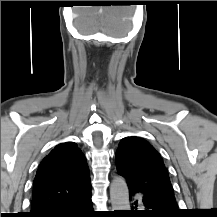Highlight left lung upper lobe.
Masks as SVG:
<instances>
[{
    "mask_svg": "<svg viewBox=\"0 0 217 217\" xmlns=\"http://www.w3.org/2000/svg\"><path fill=\"white\" fill-rule=\"evenodd\" d=\"M115 163L129 189L163 198L177 207L163 159L146 140L135 136L123 138L116 151Z\"/></svg>",
    "mask_w": 217,
    "mask_h": 217,
    "instance_id": "5c2ea615",
    "label": "left lung upper lobe"
}]
</instances>
